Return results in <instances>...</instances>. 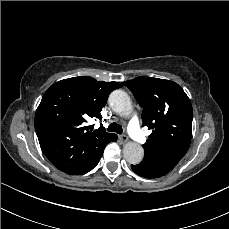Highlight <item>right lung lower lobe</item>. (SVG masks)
<instances>
[{"label": "right lung lower lobe", "mask_w": 229, "mask_h": 229, "mask_svg": "<svg viewBox=\"0 0 229 229\" xmlns=\"http://www.w3.org/2000/svg\"><path fill=\"white\" fill-rule=\"evenodd\" d=\"M117 140V135L110 137L107 142L101 147L99 148L98 152L94 155V157L91 159V161L89 163H87L83 168H81L79 171H77L76 173H73L72 175H82L85 174L87 172H89L90 170H92L99 162L104 148L105 146L110 143V142H115Z\"/></svg>", "instance_id": "1"}]
</instances>
